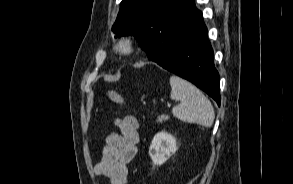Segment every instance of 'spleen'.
<instances>
[{"instance_id": "3e777b00", "label": "spleen", "mask_w": 293, "mask_h": 184, "mask_svg": "<svg viewBox=\"0 0 293 184\" xmlns=\"http://www.w3.org/2000/svg\"><path fill=\"white\" fill-rule=\"evenodd\" d=\"M173 100L180 104L172 108V114L179 120L187 123H197L210 127L215 118L214 108L205 95L192 83L173 75L170 77Z\"/></svg>"}]
</instances>
